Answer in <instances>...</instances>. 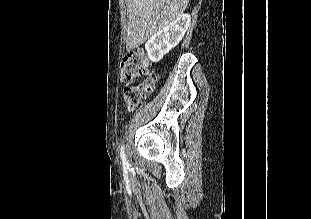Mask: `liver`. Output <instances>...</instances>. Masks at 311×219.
Wrapping results in <instances>:
<instances>
[{
	"label": "liver",
	"mask_w": 311,
	"mask_h": 219,
	"mask_svg": "<svg viewBox=\"0 0 311 219\" xmlns=\"http://www.w3.org/2000/svg\"><path fill=\"white\" fill-rule=\"evenodd\" d=\"M189 0H126L127 51L133 50L185 11Z\"/></svg>",
	"instance_id": "obj_1"
}]
</instances>
